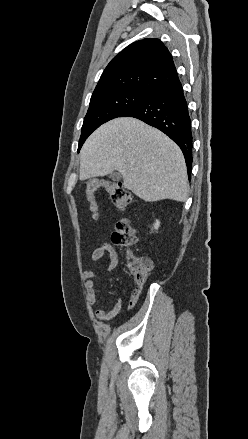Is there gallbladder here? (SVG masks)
<instances>
[{
    "label": "gallbladder",
    "mask_w": 248,
    "mask_h": 439,
    "mask_svg": "<svg viewBox=\"0 0 248 439\" xmlns=\"http://www.w3.org/2000/svg\"><path fill=\"white\" fill-rule=\"evenodd\" d=\"M110 178L113 181H119L121 179V174L118 173V172H113V173L110 174Z\"/></svg>",
    "instance_id": "1"
}]
</instances>
